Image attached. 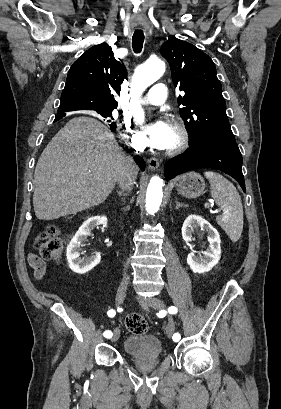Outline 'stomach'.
I'll return each mask as SVG.
<instances>
[{
  "label": "stomach",
  "instance_id": "obj_1",
  "mask_svg": "<svg viewBox=\"0 0 281 409\" xmlns=\"http://www.w3.org/2000/svg\"><path fill=\"white\" fill-rule=\"evenodd\" d=\"M176 188L186 198H196L205 192V180L198 172H186L177 180Z\"/></svg>",
  "mask_w": 281,
  "mask_h": 409
}]
</instances>
